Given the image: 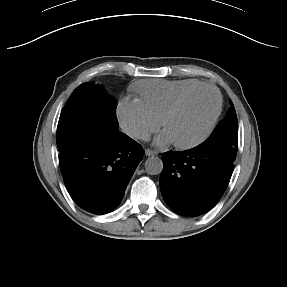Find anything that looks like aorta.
Returning <instances> with one entry per match:
<instances>
[{"mask_svg": "<svg viewBox=\"0 0 287 287\" xmlns=\"http://www.w3.org/2000/svg\"><path fill=\"white\" fill-rule=\"evenodd\" d=\"M145 169L148 174H160L163 170V162L157 156L149 157L145 162Z\"/></svg>", "mask_w": 287, "mask_h": 287, "instance_id": "obj_1", "label": "aorta"}]
</instances>
